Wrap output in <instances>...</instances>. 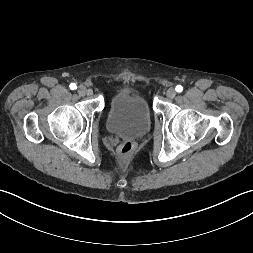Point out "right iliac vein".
<instances>
[{"label":"right iliac vein","instance_id":"1","mask_svg":"<svg viewBox=\"0 0 253 253\" xmlns=\"http://www.w3.org/2000/svg\"><path fill=\"white\" fill-rule=\"evenodd\" d=\"M77 92H78V94H79L80 96H85L86 93H87V89H86V87H85L84 85H80V86L78 87Z\"/></svg>","mask_w":253,"mask_h":253}]
</instances>
